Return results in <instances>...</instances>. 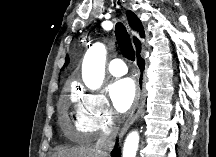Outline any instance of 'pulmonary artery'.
<instances>
[{"label":"pulmonary artery","instance_id":"pulmonary-artery-1","mask_svg":"<svg viewBox=\"0 0 216 157\" xmlns=\"http://www.w3.org/2000/svg\"><path fill=\"white\" fill-rule=\"evenodd\" d=\"M109 72L116 77L123 76L127 73V67L123 60L115 58L108 65Z\"/></svg>","mask_w":216,"mask_h":157}]
</instances>
